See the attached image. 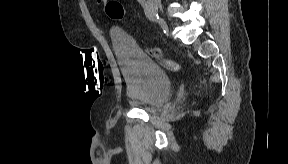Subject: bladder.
<instances>
[{
	"label": "bladder",
	"instance_id": "1",
	"mask_svg": "<svg viewBox=\"0 0 288 164\" xmlns=\"http://www.w3.org/2000/svg\"><path fill=\"white\" fill-rule=\"evenodd\" d=\"M116 55L121 63L129 100L140 110L155 112L171 99V81L167 73L132 42L120 34L113 35Z\"/></svg>",
	"mask_w": 288,
	"mask_h": 164
}]
</instances>
